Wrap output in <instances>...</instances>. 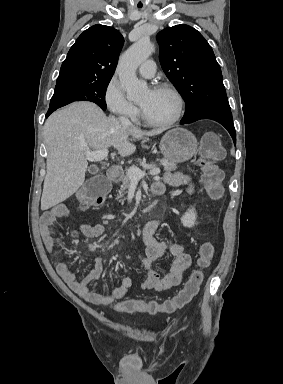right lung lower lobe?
<instances>
[{"instance_id": "right-lung-lower-lobe-1", "label": "right lung lower lobe", "mask_w": 283, "mask_h": 384, "mask_svg": "<svg viewBox=\"0 0 283 384\" xmlns=\"http://www.w3.org/2000/svg\"><path fill=\"white\" fill-rule=\"evenodd\" d=\"M53 111H55V110H53V109H49L48 112H47V114H46V117H48Z\"/></svg>"}]
</instances>
